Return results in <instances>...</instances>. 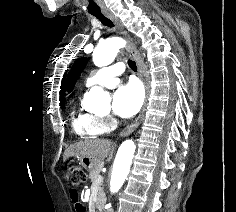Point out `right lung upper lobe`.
Wrapping results in <instances>:
<instances>
[{
	"label": "right lung upper lobe",
	"instance_id": "1",
	"mask_svg": "<svg viewBox=\"0 0 236 212\" xmlns=\"http://www.w3.org/2000/svg\"><path fill=\"white\" fill-rule=\"evenodd\" d=\"M64 79V78H63ZM64 81L62 82V86H61V91H60V98H61V101L64 100Z\"/></svg>",
	"mask_w": 236,
	"mask_h": 212
}]
</instances>
